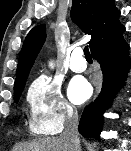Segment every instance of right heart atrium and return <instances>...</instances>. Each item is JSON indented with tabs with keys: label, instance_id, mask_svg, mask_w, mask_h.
I'll return each instance as SVG.
<instances>
[{
	"label": "right heart atrium",
	"instance_id": "d8ad5b80",
	"mask_svg": "<svg viewBox=\"0 0 131 151\" xmlns=\"http://www.w3.org/2000/svg\"><path fill=\"white\" fill-rule=\"evenodd\" d=\"M27 101L30 124L39 135H55L72 120L76 111L66 100L61 85L55 79L41 75L29 86Z\"/></svg>",
	"mask_w": 131,
	"mask_h": 151
}]
</instances>
